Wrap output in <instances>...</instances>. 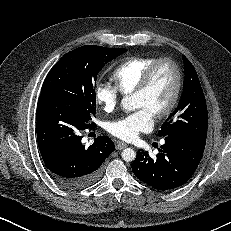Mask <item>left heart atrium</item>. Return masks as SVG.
Masks as SVG:
<instances>
[{"label":"left heart atrium","instance_id":"left-heart-atrium-1","mask_svg":"<svg viewBox=\"0 0 231 231\" xmlns=\"http://www.w3.org/2000/svg\"><path fill=\"white\" fill-rule=\"evenodd\" d=\"M153 126V113L147 108H140L127 116L109 123L108 131L119 139L131 141L139 133Z\"/></svg>","mask_w":231,"mask_h":231}]
</instances>
